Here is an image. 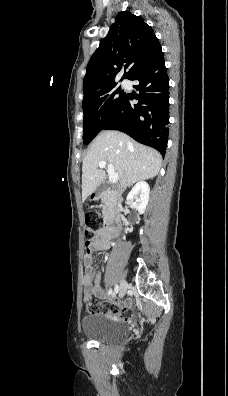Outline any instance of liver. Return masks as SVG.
<instances>
[{"mask_svg":"<svg viewBox=\"0 0 228 396\" xmlns=\"http://www.w3.org/2000/svg\"><path fill=\"white\" fill-rule=\"evenodd\" d=\"M112 164L119 180L126 186L155 177L162 157L158 151L142 145L118 131L100 132L93 140L82 165V201H85L105 178L98 163Z\"/></svg>","mask_w":228,"mask_h":396,"instance_id":"6515ba94","label":"liver"}]
</instances>
